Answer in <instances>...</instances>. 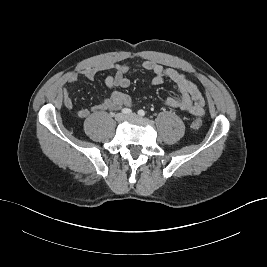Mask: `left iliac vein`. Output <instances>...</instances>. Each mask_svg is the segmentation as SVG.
I'll return each instance as SVG.
<instances>
[{
	"mask_svg": "<svg viewBox=\"0 0 267 267\" xmlns=\"http://www.w3.org/2000/svg\"><path fill=\"white\" fill-rule=\"evenodd\" d=\"M137 117V115L136 114H134V113H132V114H129L128 116H127V118H136Z\"/></svg>",
	"mask_w": 267,
	"mask_h": 267,
	"instance_id": "left-iliac-vein-1",
	"label": "left iliac vein"
}]
</instances>
